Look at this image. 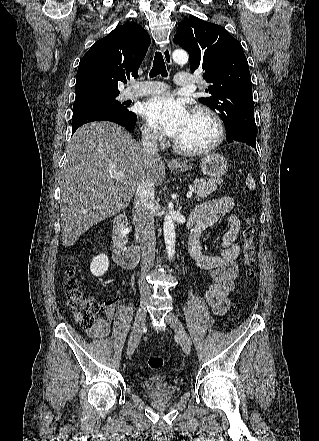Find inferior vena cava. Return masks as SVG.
Returning a JSON list of instances; mask_svg holds the SVG:
<instances>
[{
  "instance_id": "obj_1",
  "label": "inferior vena cava",
  "mask_w": 319,
  "mask_h": 441,
  "mask_svg": "<svg viewBox=\"0 0 319 441\" xmlns=\"http://www.w3.org/2000/svg\"><path fill=\"white\" fill-rule=\"evenodd\" d=\"M158 135L147 130L142 136V145L146 157L156 158L158 153ZM156 204L155 189L150 180L138 190L133 207V221L136 224V234L139 237L142 251L141 296L150 295V288L143 281L147 271L153 266L155 259L156 237L154 229L153 208Z\"/></svg>"
}]
</instances>
